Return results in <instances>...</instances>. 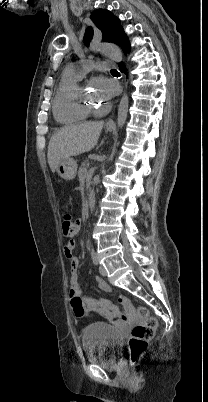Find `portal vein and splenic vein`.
Returning <instances> with one entry per match:
<instances>
[{"label": "portal vein and splenic vein", "instance_id": "portal-vein-and-splenic-vein-1", "mask_svg": "<svg viewBox=\"0 0 208 402\" xmlns=\"http://www.w3.org/2000/svg\"><path fill=\"white\" fill-rule=\"evenodd\" d=\"M83 166H84V167H87V166H88V163H87V162H84V163H83ZM90 174H92V172H90Z\"/></svg>", "mask_w": 208, "mask_h": 402}]
</instances>
